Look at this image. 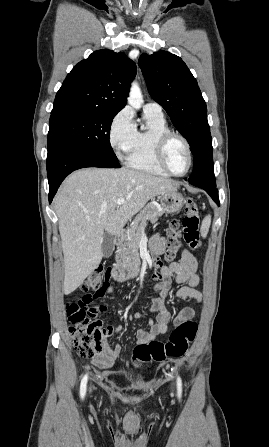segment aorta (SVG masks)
<instances>
[{
  "mask_svg": "<svg viewBox=\"0 0 269 447\" xmlns=\"http://www.w3.org/2000/svg\"><path fill=\"white\" fill-rule=\"evenodd\" d=\"M129 106H132V108H135V110H140L142 108V104H144L142 92L136 84V82H133L131 88H130V94L129 98H127Z\"/></svg>",
  "mask_w": 269,
  "mask_h": 447,
  "instance_id": "aorta-1",
  "label": "aorta"
}]
</instances>
